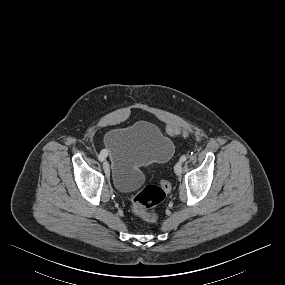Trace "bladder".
<instances>
[{
    "label": "bladder",
    "instance_id": "1",
    "mask_svg": "<svg viewBox=\"0 0 285 285\" xmlns=\"http://www.w3.org/2000/svg\"><path fill=\"white\" fill-rule=\"evenodd\" d=\"M104 146L112 183L121 193L136 191L144 182L143 169L167 161L174 153L172 141L148 121L110 130L104 137Z\"/></svg>",
    "mask_w": 285,
    "mask_h": 285
}]
</instances>
